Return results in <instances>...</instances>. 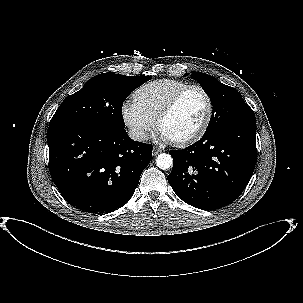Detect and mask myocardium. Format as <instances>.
I'll return each instance as SVG.
<instances>
[{
  "instance_id": "myocardium-1",
  "label": "myocardium",
  "mask_w": 303,
  "mask_h": 303,
  "mask_svg": "<svg viewBox=\"0 0 303 303\" xmlns=\"http://www.w3.org/2000/svg\"><path fill=\"white\" fill-rule=\"evenodd\" d=\"M191 90H198L202 93L206 100L207 104V109H206V114L204 116L203 121L201 122L199 128L189 135L186 138L180 139V140H173V143L177 146L184 147L191 145L195 142H197L199 139L203 137V135L206 133L212 116H213V102L212 99L209 95V93L200 85L196 84H191L187 85L186 87L182 88L180 91H178L172 98L171 100L167 103V105L163 108V110L160 112L156 119L157 127L161 129L162 123L166 118H168L176 109L178 104L180 103L181 99L184 97L186 93H188Z\"/></svg>"
}]
</instances>
